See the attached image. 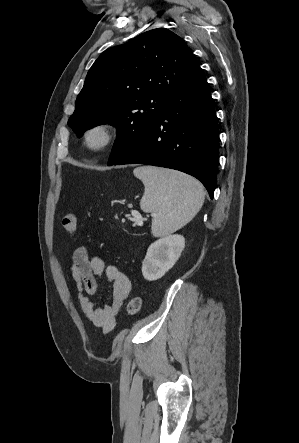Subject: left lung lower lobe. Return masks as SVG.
<instances>
[{"instance_id": "0a47b994", "label": "left lung lower lobe", "mask_w": 299, "mask_h": 443, "mask_svg": "<svg viewBox=\"0 0 299 443\" xmlns=\"http://www.w3.org/2000/svg\"><path fill=\"white\" fill-rule=\"evenodd\" d=\"M219 131L205 75L198 67L173 93L159 118L111 165L149 164L194 176L211 198L216 188Z\"/></svg>"}]
</instances>
